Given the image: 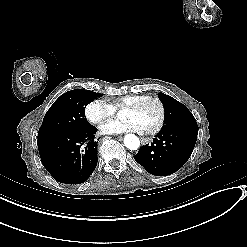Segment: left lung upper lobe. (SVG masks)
Wrapping results in <instances>:
<instances>
[{
  "label": "left lung upper lobe",
  "mask_w": 247,
  "mask_h": 247,
  "mask_svg": "<svg viewBox=\"0 0 247 247\" xmlns=\"http://www.w3.org/2000/svg\"><path fill=\"white\" fill-rule=\"evenodd\" d=\"M165 107V126L163 129L194 128L198 125L192 113L182 103L164 93L158 94Z\"/></svg>",
  "instance_id": "obj_1"
}]
</instances>
